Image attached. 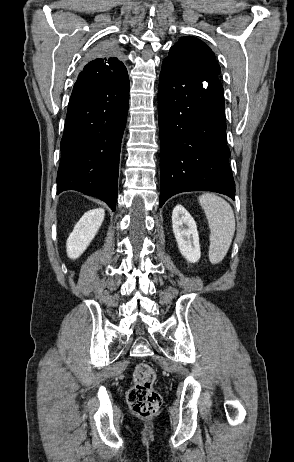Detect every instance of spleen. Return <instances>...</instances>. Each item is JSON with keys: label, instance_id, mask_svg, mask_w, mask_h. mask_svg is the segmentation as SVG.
Segmentation results:
<instances>
[{"label": "spleen", "instance_id": "1", "mask_svg": "<svg viewBox=\"0 0 294 462\" xmlns=\"http://www.w3.org/2000/svg\"><path fill=\"white\" fill-rule=\"evenodd\" d=\"M210 227L209 259L213 264L225 257L235 232V217L231 206L222 198L205 193L199 197Z\"/></svg>", "mask_w": 294, "mask_h": 462}]
</instances>
